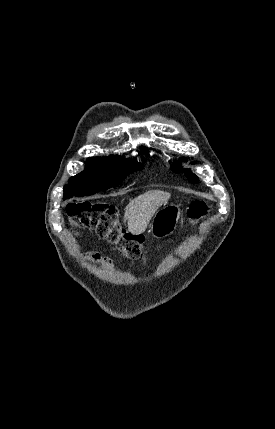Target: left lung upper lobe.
I'll return each instance as SVG.
<instances>
[{"label": "left lung upper lobe", "mask_w": 275, "mask_h": 429, "mask_svg": "<svg viewBox=\"0 0 275 429\" xmlns=\"http://www.w3.org/2000/svg\"><path fill=\"white\" fill-rule=\"evenodd\" d=\"M171 169L175 173L185 172V175L188 177V180L192 183L198 182V177L195 174H192L189 169H187V170L182 169V167L178 163H173L171 165Z\"/></svg>", "instance_id": "5c2ea615"}]
</instances>
